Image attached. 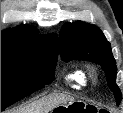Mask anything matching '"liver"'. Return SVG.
Wrapping results in <instances>:
<instances>
[{"instance_id":"6515ba94","label":"liver","mask_w":123,"mask_h":113,"mask_svg":"<svg viewBox=\"0 0 123 113\" xmlns=\"http://www.w3.org/2000/svg\"><path fill=\"white\" fill-rule=\"evenodd\" d=\"M69 100L72 99L67 96H49L31 103L30 105L20 109L17 113H49V111L58 105L66 103Z\"/></svg>"}]
</instances>
